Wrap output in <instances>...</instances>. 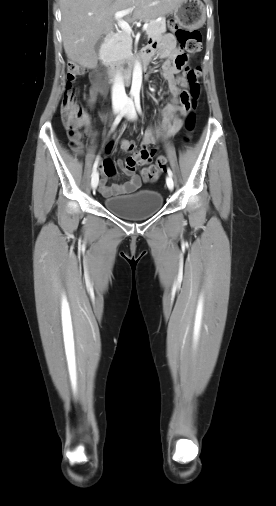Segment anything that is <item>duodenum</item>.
I'll return each instance as SVG.
<instances>
[{
	"mask_svg": "<svg viewBox=\"0 0 276 506\" xmlns=\"http://www.w3.org/2000/svg\"><path fill=\"white\" fill-rule=\"evenodd\" d=\"M112 38L113 33L112 32L107 33L103 40L104 45L109 44ZM148 61L149 57L146 55V53L143 52L137 59H134L132 62H117V61L109 62L108 69L110 72V76L112 79L119 78L122 80H129L137 64H141L145 67L148 64Z\"/></svg>",
	"mask_w": 276,
	"mask_h": 506,
	"instance_id": "410a0bca",
	"label": "duodenum"
}]
</instances>
